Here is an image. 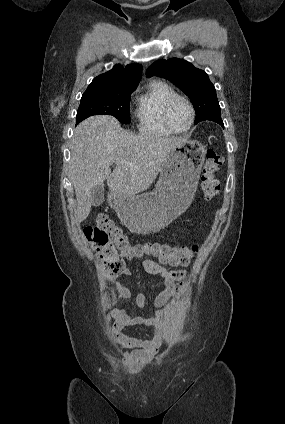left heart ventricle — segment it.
<instances>
[{
	"instance_id": "obj_1",
	"label": "left heart ventricle",
	"mask_w": 285,
	"mask_h": 424,
	"mask_svg": "<svg viewBox=\"0 0 285 424\" xmlns=\"http://www.w3.org/2000/svg\"><path fill=\"white\" fill-rule=\"evenodd\" d=\"M191 113L188 106L182 102H176L170 110V122L178 130H184L190 123Z\"/></svg>"
}]
</instances>
